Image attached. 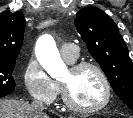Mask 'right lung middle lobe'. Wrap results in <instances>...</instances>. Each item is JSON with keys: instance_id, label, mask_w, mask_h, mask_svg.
<instances>
[{"instance_id": "dd1d6c3e", "label": "right lung middle lobe", "mask_w": 133, "mask_h": 118, "mask_svg": "<svg viewBox=\"0 0 133 118\" xmlns=\"http://www.w3.org/2000/svg\"><path fill=\"white\" fill-rule=\"evenodd\" d=\"M16 59L0 58V97L11 93L16 86L12 76Z\"/></svg>"}]
</instances>
